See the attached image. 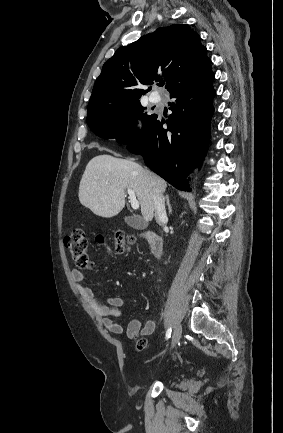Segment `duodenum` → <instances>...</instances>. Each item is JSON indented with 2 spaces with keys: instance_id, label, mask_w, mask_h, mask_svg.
Instances as JSON below:
<instances>
[{
  "instance_id": "duodenum-1",
  "label": "duodenum",
  "mask_w": 283,
  "mask_h": 433,
  "mask_svg": "<svg viewBox=\"0 0 283 433\" xmlns=\"http://www.w3.org/2000/svg\"><path fill=\"white\" fill-rule=\"evenodd\" d=\"M142 237L147 241L152 255L156 258L161 257L164 251L163 239L151 231L144 232Z\"/></svg>"
}]
</instances>
